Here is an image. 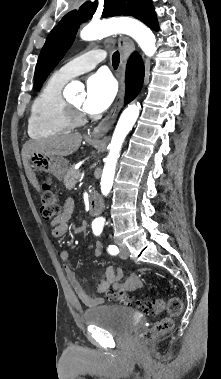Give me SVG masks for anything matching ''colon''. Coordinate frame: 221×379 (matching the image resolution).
Returning <instances> with one entry per match:
<instances>
[{
    "label": "colon",
    "mask_w": 221,
    "mask_h": 379,
    "mask_svg": "<svg viewBox=\"0 0 221 379\" xmlns=\"http://www.w3.org/2000/svg\"><path fill=\"white\" fill-rule=\"evenodd\" d=\"M59 213L60 205L56 195L48 184H44L40 206L42 219L45 221L54 220ZM110 295L126 304H133L131 300L125 297L123 292L115 291L111 292ZM137 305L151 315H158L163 310H166L169 315L157 320L151 328L141 332L140 339L143 342H150L159 336L167 334L173 327L172 317L179 316L183 309L182 301L178 297L170 298L166 304L162 299H154L137 302Z\"/></svg>",
    "instance_id": "colon-1"
}]
</instances>
